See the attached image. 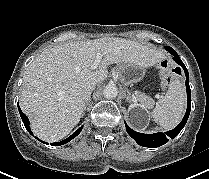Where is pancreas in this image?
Masks as SVG:
<instances>
[{"label": "pancreas", "instance_id": "obj_1", "mask_svg": "<svg viewBox=\"0 0 209 179\" xmlns=\"http://www.w3.org/2000/svg\"><path fill=\"white\" fill-rule=\"evenodd\" d=\"M135 98L137 99V101L146 105L149 108H151L154 104L153 99L142 92H135Z\"/></svg>", "mask_w": 209, "mask_h": 179}]
</instances>
